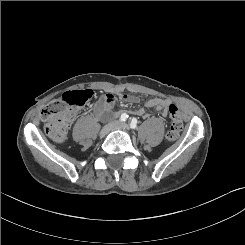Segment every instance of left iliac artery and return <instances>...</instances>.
Instances as JSON below:
<instances>
[{
	"label": "left iliac artery",
	"mask_w": 245,
	"mask_h": 245,
	"mask_svg": "<svg viewBox=\"0 0 245 245\" xmlns=\"http://www.w3.org/2000/svg\"><path fill=\"white\" fill-rule=\"evenodd\" d=\"M137 119L136 118H132L131 120H130V128H132V129H136L137 128Z\"/></svg>",
	"instance_id": "left-iliac-artery-1"
}]
</instances>
